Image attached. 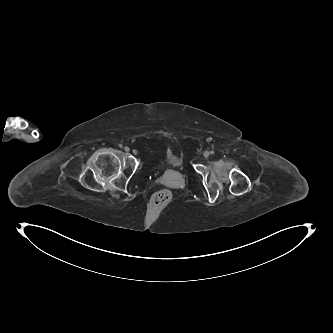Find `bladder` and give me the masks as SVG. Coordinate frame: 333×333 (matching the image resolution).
<instances>
[{
    "instance_id": "31cf9c89",
    "label": "bladder",
    "mask_w": 333,
    "mask_h": 333,
    "mask_svg": "<svg viewBox=\"0 0 333 333\" xmlns=\"http://www.w3.org/2000/svg\"><path fill=\"white\" fill-rule=\"evenodd\" d=\"M162 166L168 169L180 170L183 167V161L179 155L169 151L163 158Z\"/></svg>"
}]
</instances>
